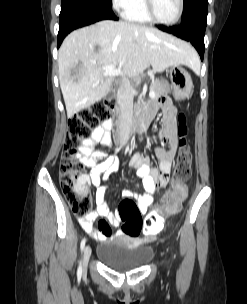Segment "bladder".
Returning <instances> with one entry per match:
<instances>
[{"instance_id":"31cf9c89","label":"bladder","mask_w":247,"mask_h":304,"mask_svg":"<svg viewBox=\"0 0 247 304\" xmlns=\"http://www.w3.org/2000/svg\"><path fill=\"white\" fill-rule=\"evenodd\" d=\"M153 255L152 247L126 238L106 240L97 248L99 261L109 269L121 273L143 268Z\"/></svg>"}]
</instances>
